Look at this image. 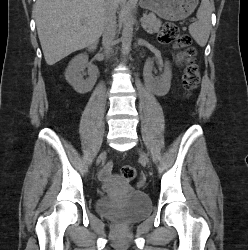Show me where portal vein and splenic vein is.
I'll list each match as a JSON object with an SVG mask.
<instances>
[{"instance_id":"obj_1","label":"portal vein and splenic vein","mask_w":248,"mask_h":250,"mask_svg":"<svg viewBox=\"0 0 248 250\" xmlns=\"http://www.w3.org/2000/svg\"><path fill=\"white\" fill-rule=\"evenodd\" d=\"M140 21H141V23L145 22V18L144 17L141 18Z\"/></svg>"}]
</instances>
